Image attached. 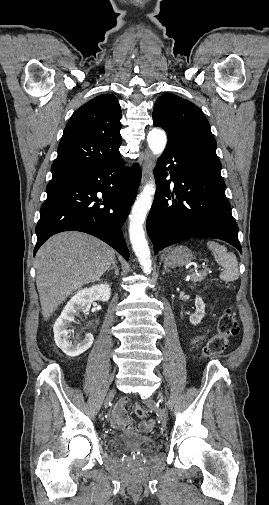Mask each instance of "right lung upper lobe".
I'll return each mask as SVG.
<instances>
[{
  "label": "right lung upper lobe",
  "instance_id": "right-lung-upper-lobe-1",
  "mask_svg": "<svg viewBox=\"0 0 269 505\" xmlns=\"http://www.w3.org/2000/svg\"><path fill=\"white\" fill-rule=\"evenodd\" d=\"M122 112L111 94L99 95L71 116L51 166V181L66 178L120 155Z\"/></svg>",
  "mask_w": 269,
  "mask_h": 505
}]
</instances>
